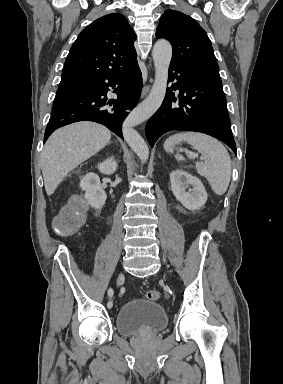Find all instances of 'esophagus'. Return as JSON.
<instances>
[{
	"label": "esophagus",
	"instance_id": "1",
	"mask_svg": "<svg viewBox=\"0 0 283 384\" xmlns=\"http://www.w3.org/2000/svg\"><path fill=\"white\" fill-rule=\"evenodd\" d=\"M151 89V85H145L142 90L141 98H144Z\"/></svg>",
	"mask_w": 283,
	"mask_h": 384
}]
</instances>
